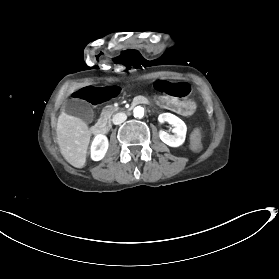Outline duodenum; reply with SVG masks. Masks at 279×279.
<instances>
[{
  "mask_svg": "<svg viewBox=\"0 0 279 279\" xmlns=\"http://www.w3.org/2000/svg\"><path fill=\"white\" fill-rule=\"evenodd\" d=\"M132 103L134 105H137L138 103L149 105L151 103V100L149 98L137 96L132 100ZM127 113H132V108H127ZM91 132L93 133V135H103L109 132V128L107 126L101 128V123H96V126H93L91 128Z\"/></svg>",
  "mask_w": 279,
  "mask_h": 279,
  "instance_id": "duodenum-1",
  "label": "duodenum"
}]
</instances>
